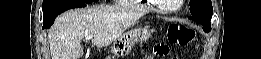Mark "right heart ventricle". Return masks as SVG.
Instances as JSON below:
<instances>
[{"label":"right heart ventricle","instance_id":"e07e8e85","mask_svg":"<svg viewBox=\"0 0 261 59\" xmlns=\"http://www.w3.org/2000/svg\"><path fill=\"white\" fill-rule=\"evenodd\" d=\"M121 2H124V3H126V5L128 4H135V3H138V1H132V0H122ZM140 2V1H139ZM145 10H149L150 9V7H145L144 8Z\"/></svg>","mask_w":261,"mask_h":59}]
</instances>
